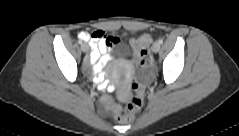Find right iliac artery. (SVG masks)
Here are the masks:
<instances>
[{
    "mask_svg": "<svg viewBox=\"0 0 239 136\" xmlns=\"http://www.w3.org/2000/svg\"><path fill=\"white\" fill-rule=\"evenodd\" d=\"M78 42H79V45H82V44H83V41H82V40H79Z\"/></svg>",
    "mask_w": 239,
    "mask_h": 136,
    "instance_id": "obj_1",
    "label": "right iliac artery"
}]
</instances>
